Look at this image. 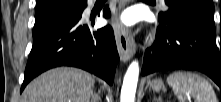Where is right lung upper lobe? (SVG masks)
I'll use <instances>...</instances> for the list:
<instances>
[{"label": "right lung upper lobe", "mask_w": 221, "mask_h": 102, "mask_svg": "<svg viewBox=\"0 0 221 102\" xmlns=\"http://www.w3.org/2000/svg\"><path fill=\"white\" fill-rule=\"evenodd\" d=\"M50 0H37V6L36 8L42 7L46 5ZM81 1H87V0H81Z\"/></svg>", "instance_id": "right-lung-upper-lobe-1"}]
</instances>
